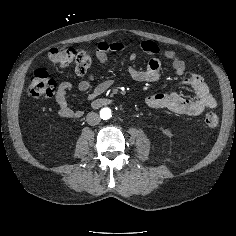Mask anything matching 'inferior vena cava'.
<instances>
[{"label":"inferior vena cava","mask_w":236,"mask_h":236,"mask_svg":"<svg viewBox=\"0 0 236 236\" xmlns=\"http://www.w3.org/2000/svg\"><path fill=\"white\" fill-rule=\"evenodd\" d=\"M86 121L89 125H97L100 123L101 118L99 116V114L95 113V112H90L87 114L86 116Z\"/></svg>","instance_id":"602c4592"}]
</instances>
